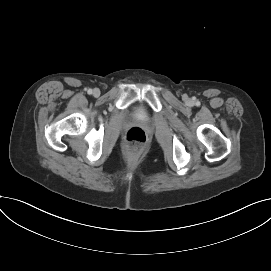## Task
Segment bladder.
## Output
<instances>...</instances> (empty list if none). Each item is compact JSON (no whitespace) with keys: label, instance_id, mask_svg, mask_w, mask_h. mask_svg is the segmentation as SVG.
Wrapping results in <instances>:
<instances>
[{"label":"bladder","instance_id":"bladder-1","mask_svg":"<svg viewBox=\"0 0 271 271\" xmlns=\"http://www.w3.org/2000/svg\"><path fill=\"white\" fill-rule=\"evenodd\" d=\"M136 118L140 120H145L147 117L143 111L138 110L135 114Z\"/></svg>","mask_w":271,"mask_h":271}]
</instances>
